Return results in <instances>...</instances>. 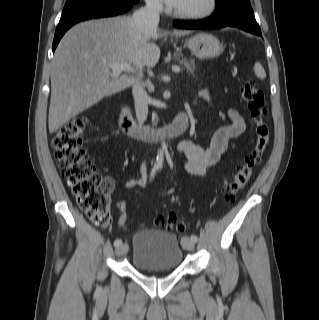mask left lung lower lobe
I'll list each match as a JSON object with an SVG mask.
<instances>
[{"mask_svg": "<svg viewBox=\"0 0 319 320\" xmlns=\"http://www.w3.org/2000/svg\"><path fill=\"white\" fill-rule=\"evenodd\" d=\"M173 24L181 29H219L230 26L261 36L250 3L225 4L221 8H216L215 12L204 20L174 21Z\"/></svg>", "mask_w": 319, "mask_h": 320, "instance_id": "0a47b994", "label": "left lung lower lobe"}]
</instances>
